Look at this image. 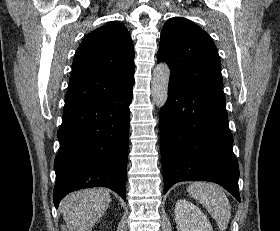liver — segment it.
<instances>
[{
  "label": "liver",
  "instance_id": "liver-1",
  "mask_svg": "<svg viewBox=\"0 0 280 231\" xmlns=\"http://www.w3.org/2000/svg\"><path fill=\"white\" fill-rule=\"evenodd\" d=\"M108 191L105 187H93L66 195L61 207L70 231H88L96 223L111 201Z\"/></svg>",
  "mask_w": 280,
  "mask_h": 231
}]
</instances>
